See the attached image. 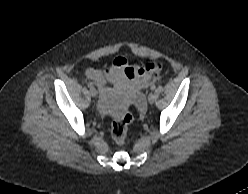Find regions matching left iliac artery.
<instances>
[{"instance_id": "44dca946", "label": "left iliac artery", "mask_w": 248, "mask_h": 194, "mask_svg": "<svg viewBox=\"0 0 248 194\" xmlns=\"http://www.w3.org/2000/svg\"><path fill=\"white\" fill-rule=\"evenodd\" d=\"M155 88H156V86H155V85H152V86H151V89H152V90H154Z\"/></svg>"}]
</instances>
